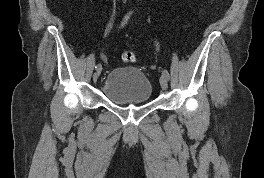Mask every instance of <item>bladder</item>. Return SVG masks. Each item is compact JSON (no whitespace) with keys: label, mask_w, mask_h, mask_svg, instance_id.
Wrapping results in <instances>:
<instances>
[{"label":"bladder","mask_w":264,"mask_h":178,"mask_svg":"<svg viewBox=\"0 0 264 178\" xmlns=\"http://www.w3.org/2000/svg\"><path fill=\"white\" fill-rule=\"evenodd\" d=\"M101 93L114 104L137 105L150 101L152 86L140 69L119 67L107 74L101 84Z\"/></svg>","instance_id":"obj_1"}]
</instances>
